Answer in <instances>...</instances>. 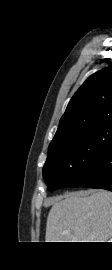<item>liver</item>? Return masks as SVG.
Returning a JSON list of instances; mask_svg holds the SVG:
<instances>
[{
    "instance_id": "1",
    "label": "liver",
    "mask_w": 112,
    "mask_h": 270,
    "mask_svg": "<svg viewBox=\"0 0 112 270\" xmlns=\"http://www.w3.org/2000/svg\"><path fill=\"white\" fill-rule=\"evenodd\" d=\"M112 237V192L79 191L49 211L46 242H106Z\"/></svg>"
}]
</instances>
